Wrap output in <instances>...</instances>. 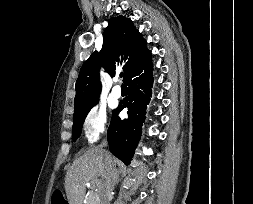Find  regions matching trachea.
I'll use <instances>...</instances> for the list:
<instances>
[{
    "label": "trachea",
    "instance_id": "obj_1",
    "mask_svg": "<svg viewBox=\"0 0 253 204\" xmlns=\"http://www.w3.org/2000/svg\"><path fill=\"white\" fill-rule=\"evenodd\" d=\"M122 76H123V73L120 74V77H122Z\"/></svg>",
    "mask_w": 253,
    "mask_h": 204
}]
</instances>
